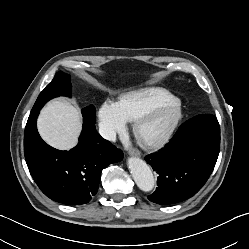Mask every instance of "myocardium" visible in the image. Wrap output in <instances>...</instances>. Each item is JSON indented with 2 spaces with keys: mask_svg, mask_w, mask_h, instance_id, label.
I'll use <instances>...</instances> for the list:
<instances>
[{
  "mask_svg": "<svg viewBox=\"0 0 249 249\" xmlns=\"http://www.w3.org/2000/svg\"><path fill=\"white\" fill-rule=\"evenodd\" d=\"M161 111H165L169 115L167 124L153 136L143 139L140 135L141 127ZM181 113V101L178 98H172L170 100L158 103L157 105L152 106L151 108L144 111L135 119L133 126L134 133L146 146L156 147L164 143L171 136L181 119Z\"/></svg>",
  "mask_w": 249,
  "mask_h": 249,
  "instance_id": "myocardium-1",
  "label": "myocardium"
}]
</instances>
